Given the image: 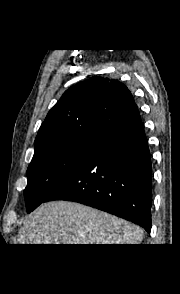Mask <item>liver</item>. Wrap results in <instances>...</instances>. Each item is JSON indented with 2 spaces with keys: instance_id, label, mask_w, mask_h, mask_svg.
Returning <instances> with one entry per match:
<instances>
[{
  "instance_id": "liver-1",
  "label": "liver",
  "mask_w": 180,
  "mask_h": 294,
  "mask_svg": "<svg viewBox=\"0 0 180 294\" xmlns=\"http://www.w3.org/2000/svg\"><path fill=\"white\" fill-rule=\"evenodd\" d=\"M143 230L124 219L68 201L43 204L26 220L19 244H140Z\"/></svg>"
}]
</instances>
